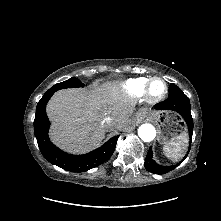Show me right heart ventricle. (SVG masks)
Here are the masks:
<instances>
[{
    "label": "right heart ventricle",
    "instance_id": "e07e8e85",
    "mask_svg": "<svg viewBox=\"0 0 221 221\" xmlns=\"http://www.w3.org/2000/svg\"><path fill=\"white\" fill-rule=\"evenodd\" d=\"M148 81L147 77L129 79L123 84L122 92L128 97H140L144 94Z\"/></svg>",
    "mask_w": 221,
    "mask_h": 221
}]
</instances>
